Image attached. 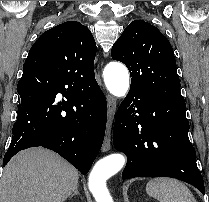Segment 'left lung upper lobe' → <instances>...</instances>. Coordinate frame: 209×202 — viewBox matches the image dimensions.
I'll return each instance as SVG.
<instances>
[{"label":"left lung upper lobe","mask_w":209,"mask_h":202,"mask_svg":"<svg viewBox=\"0 0 209 202\" xmlns=\"http://www.w3.org/2000/svg\"><path fill=\"white\" fill-rule=\"evenodd\" d=\"M111 56L130 71V89L149 96L184 102L170 42L153 25L135 20L114 43Z\"/></svg>","instance_id":"left-lung-upper-lobe-1"}]
</instances>
